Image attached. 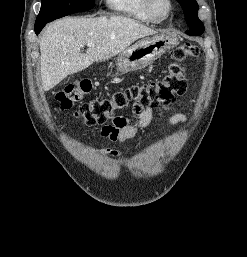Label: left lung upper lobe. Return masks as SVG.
<instances>
[{
    "label": "left lung upper lobe",
    "mask_w": 247,
    "mask_h": 257,
    "mask_svg": "<svg viewBox=\"0 0 247 257\" xmlns=\"http://www.w3.org/2000/svg\"><path fill=\"white\" fill-rule=\"evenodd\" d=\"M181 5L186 23L189 30L186 31L189 35H201L204 32V25L198 18V3L196 0H177Z\"/></svg>",
    "instance_id": "5c2ea615"
}]
</instances>
